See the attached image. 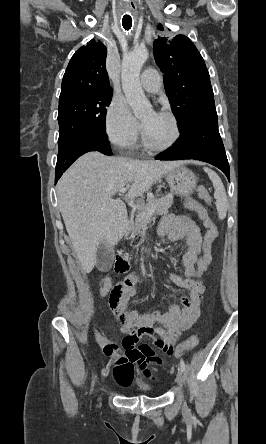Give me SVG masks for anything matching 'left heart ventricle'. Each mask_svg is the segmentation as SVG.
<instances>
[{
    "instance_id": "obj_1",
    "label": "left heart ventricle",
    "mask_w": 266,
    "mask_h": 444,
    "mask_svg": "<svg viewBox=\"0 0 266 444\" xmlns=\"http://www.w3.org/2000/svg\"><path fill=\"white\" fill-rule=\"evenodd\" d=\"M142 125L150 141L157 146H165L174 135V126L167 117L153 111L141 117Z\"/></svg>"
}]
</instances>
